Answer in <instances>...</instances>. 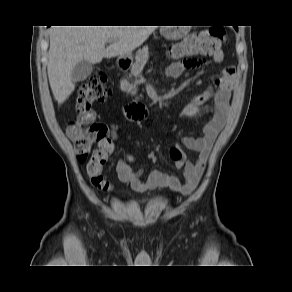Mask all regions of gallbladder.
<instances>
[{
	"mask_svg": "<svg viewBox=\"0 0 292 292\" xmlns=\"http://www.w3.org/2000/svg\"><path fill=\"white\" fill-rule=\"evenodd\" d=\"M93 71V64L87 61L79 62L72 71V79L75 82L85 80Z\"/></svg>",
	"mask_w": 292,
	"mask_h": 292,
	"instance_id": "gallbladder-1",
	"label": "gallbladder"
}]
</instances>
